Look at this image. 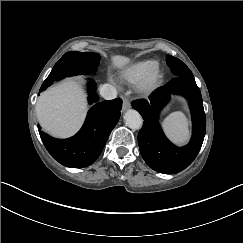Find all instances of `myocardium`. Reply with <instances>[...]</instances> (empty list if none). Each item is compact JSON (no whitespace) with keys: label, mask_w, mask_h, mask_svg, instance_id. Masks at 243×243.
<instances>
[{"label":"myocardium","mask_w":243,"mask_h":243,"mask_svg":"<svg viewBox=\"0 0 243 243\" xmlns=\"http://www.w3.org/2000/svg\"><path fill=\"white\" fill-rule=\"evenodd\" d=\"M163 83V72L160 66L155 67L146 79L140 84L139 92L145 95L152 94L161 87Z\"/></svg>","instance_id":"1"}]
</instances>
